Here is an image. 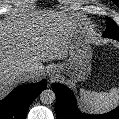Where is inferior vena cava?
I'll use <instances>...</instances> for the list:
<instances>
[{
  "mask_svg": "<svg viewBox=\"0 0 119 119\" xmlns=\"http://www.w3.org/2000/svg\"><path fill=\"white\" fill-rule=\"evenodd\" d=\"M35 73V69L33 67H28L23 70H21V77L23 81H27L29 78H31Z\"/></svg>",
  "mask_w": 119,
  "mask_h": 119,
  "instance_id": "inferior-vena-cava-1",
  "label": "inferior vena cava"
}]
</instances>
